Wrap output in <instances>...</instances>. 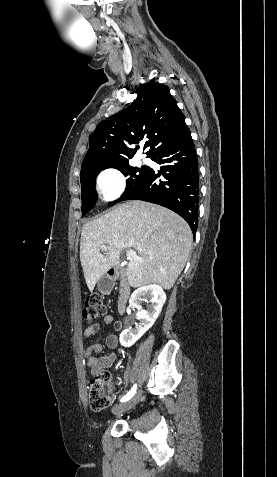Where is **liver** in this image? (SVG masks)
I'll use <instances>...</instances> for the list:
<instances>
[{"instance_id":"1","label":"liver","mask_w":277,"mask_h":477,"mask_svg":"<svg viewBox=\"0 0 277 477\" xmlns=\"http://www.w3.org/2000/svg\"><path fill=\"white\" fill-rule=\"evenodd\" d=\"M193 242L187 222L162 206L132 200L86 223L82 227L80 261L89 290L112 267L120 263V252L133 248L126 269L133 288L158 284L168 290L182 272ZM107 245V255L100 253Z\"/></svg>"}]
</instances>
